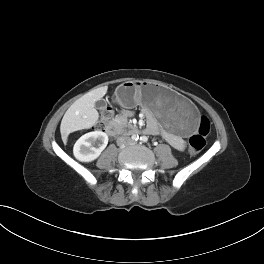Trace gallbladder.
I'll return each mask as SVG.
<instances>
[{
    "label": "gallbladder",
    "instance_id": "bac80fb5",
    "mask_svg": "<svg viewBox=\"0 0 264 264\" xmlns=\"http://www.w3.org/2000/svg\"><path fill=\"white\" fill-rule=\"evenodd\" d=\"M106 106V101L104 99H100L96 102L95 107L97 109L104 108Z\"/></svg>",
    "mask_w": 264,
    "mask_h": 264
}]
</instances>
